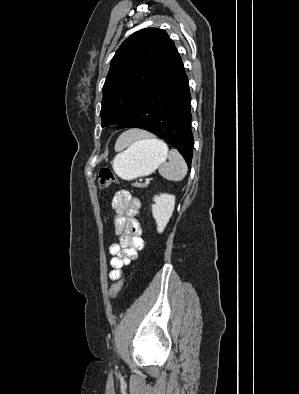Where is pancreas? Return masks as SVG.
<instances>
[{"label":"pancreas","mask_w":299,"mask_h":394,"mask_svg":"<svg viewBox=\"0 0 299 394\" xmlns=\"http://www.w3.org/2000/svg\"><path fill=\"white\" fill-rule=\"evenodd\" d=\"M134 186H135V187H138V188H144V187H146V186H147V184H143V183H135V184H134Z\"/></svg>","instance_id":"obj_1"}]
</instances>
